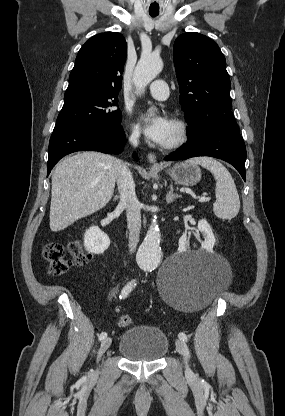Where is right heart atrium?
Segmentation results:
<instances>
[{
	"label": "right heart atrium",
	"instance_id": "obj_1",
	"mask_svg": "<svg viewBox=\"0 0 285 416\" xmlns=\"http://www.w3.org/2000/svg\"><path fill=\"white\" fill-rule=\"evenodd\" d=\"M139 129L137 127H133L132 129V138L137 139L139 137Z\"/></svg>",
	"mask_w": 285,
	"mask_h": 416
}]
</instances>
